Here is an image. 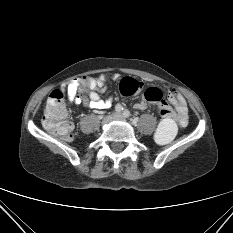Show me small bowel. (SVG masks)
Segmentation results:
<instances>
[{"label": "small bowel", "mask_w": 233, "mask_h": 233, "mask_svg": "<svg viewBox=\"0 0 233 233\" xmlns=\"http://www.w3.org/2000/svg\"><path fill=\"white\" fill-rule=\"evenodd\" d=\"M114 77H117V75ZM106 79V75H101L96 79L85 78L83 82L80 79H73L65 87H63L62 90L67 94L68 100L71 103L82 104L83 106L92 109H108L111 106V101L103 100L98 93V90L104 89ZM169 101L176 109V114H173V116H175L179 125L184 127L188 121L187 104L184 97L175 90L171 89ZM163 106L169 107L163 100L158 106L159 113ZM146 108L147 104L145 100H142L136 104L137 110L142 111Z\"/></svg>", "instance_id": "obj_1"}]
</instances>
